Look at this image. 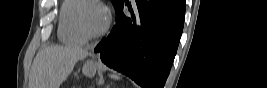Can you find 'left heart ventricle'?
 <instances>
[{"label": "left heart ventricle", "instance_id": "1", "mask_svg": "<svg viewBox=\"0 0 267 88\" xmlns=\"http://www.w3.org/2000/svg\"><path fill=\"white\" fill-rule=\"evenodd\" d=\"M82 18L85 27L90 32L99 31L105 24L106 15L101 7L93 3H87L82 9Z\"/></svg>", "mask_w": 267, "mask_h": 88}]
</instances>
